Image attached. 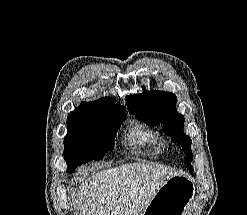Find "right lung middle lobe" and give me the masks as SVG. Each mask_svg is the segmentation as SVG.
Instances as JSON below:
<instances>
[{"instance_id": "right-lung-middle-lobe-1", "label": "right lung middle lobe", "mask_w": 247, "mask_h": 215, "mask_svg": "<svg viewBox=\"0 0 247 215\" xmlns=\"http://www.w3.org/2000/svg\"><path fill=\"white\" fill-rule=\"evenodd\" d=\"M125 113L107 114L78 107L67 119L68 133L64 138V158L68 170L87 161L101 159L114 146L116 133Z\"/></svg>"}]
</instances>
